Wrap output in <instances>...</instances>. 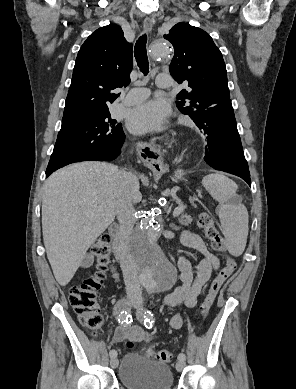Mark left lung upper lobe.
<instances>
[{"label":"left lung upper lobe","instance_id":"obj_1","mask_svg":"<svg viewBox=\"0 0 296 389\" xmlns=\"http://www.w3.org/2000/svg\"><path fill=\"white\" fill-rule=\"evenodd\" d=\"M164 38L174 47L171 75L189 86L178 94L177 107L201 129L210 108L231 101L222 54L208 33L186 23H177Z\"/></svg>","mask_w":296,"mask_h":389}]
</instances>
